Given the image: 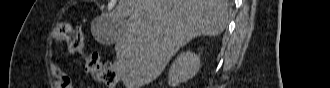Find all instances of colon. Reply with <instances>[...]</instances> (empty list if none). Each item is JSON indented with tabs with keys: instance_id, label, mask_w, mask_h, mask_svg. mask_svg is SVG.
<instances>
[{
	"instance_id": "colon-1",
	"label": "colon",
	"mask_w": 330,
	"mask_h": 88,
	"mask_svg": "<svg viewBox=\"0 0 330 88\" xmlns=\"http://www.w3.org/2000/svg\"><path fill=\"white\" fill-rule=\"evenodd\" d=\"M57 43H66L74 52L83 50V39L80 30L74 29L68 22H60L54 31ZM86 70L97 81L114 88L118 84L116 62L102 64L96 53L87 54Z\"/></svg>"
}]
</instances>
